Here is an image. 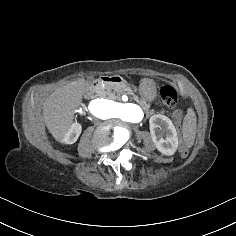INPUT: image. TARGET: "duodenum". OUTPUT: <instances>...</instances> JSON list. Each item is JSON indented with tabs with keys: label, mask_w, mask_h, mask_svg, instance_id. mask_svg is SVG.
Returning <instances> with one entry per match:
<instances>
[{
	"label": "duodenum",
	"mask_w": 236,
	"mask_h": 236,
	"mask_svg": "<svg viewBox=\"0 0 236 236\" xmlns=\"http://www.w3.org/2000/svg\"><path fill=\"white\" fill-rule=\"evenodd\" d=\"M122 77L118 75H103L100 76L86 85V91H91L95 86L100 84H120L122 83Z\"/></svg>",
	"instance_id": "1"
}]
</instances>
